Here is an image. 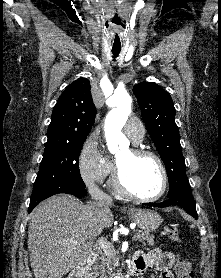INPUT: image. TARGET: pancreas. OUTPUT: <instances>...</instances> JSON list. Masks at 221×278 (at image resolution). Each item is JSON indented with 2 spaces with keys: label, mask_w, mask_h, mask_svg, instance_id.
<instances>
[{
  "label": "pancreas",
  "mask_w": 221,
  "mask_h": 278,
  "mask_svg": "<svg viewBox=\"0 0 221 278\" xmlns=\"http://www.w3.org/2000/svg\"><path fill=\"white\" fill-rule=\"evenodd\" d=\"M135 240H139L144 245H153L154 236L148 232L138 230L135 233ZM100 259V265H96L93 268L94 278H112L115 275L113 274V269H115V267H119L120 265L118 252L112 245H110V249L105 250L101 254Z\"/></svg>",
  "instance_id": "pancreas-1"
}]
</instances>
